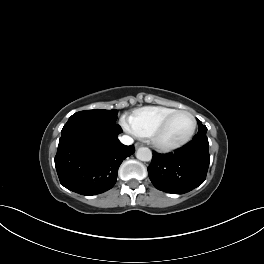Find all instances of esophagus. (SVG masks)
Instances as JSON below:
<instances>
[{
  "mask_svg": "<svg viewBox=\"0 0 264 264\" xmlns=\"http://www.w3.org/2000/svg\"><path fill=\"white\" fill-rule=\"evenodd\" d=\"M136 147H140L141 146V144L140 143H136V145H135Z\"/></svg>",
  "mask_w": 264,
  "mask_h": 264,
  "instance_id": "34e87169",
  "label": "esophagus"
}]
</instances>
